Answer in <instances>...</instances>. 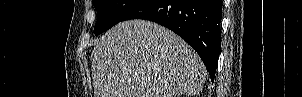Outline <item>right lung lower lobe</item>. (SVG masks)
<instances>
[{
  "label": "right lung lower lobe",
  "instance_id": "1",
  "mask_svg": "<svg viewBox=\"0 0 302 97\" xmlns=\"http://www.w3.org/2000/svg\"><path fill=\"white\" fill-rule=\"evenodd\" d=\"M145 19L165 26L200 55L214 81L221 48L222 0H141L122 21Z\"/></svg>",
  "mask_w": 302,
  "mask_h": 97
}]
</instances>
